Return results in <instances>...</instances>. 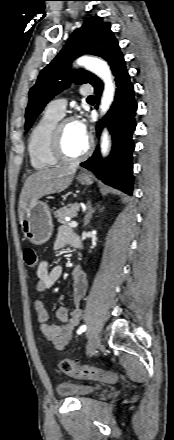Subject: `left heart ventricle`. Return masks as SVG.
<instances>
[{"label":"left heart ventricle","mask_w":174,"mask_h":440,"mask_svg":"<svg viewBox=\"0 0 174 440\" xmlns=\"http://www.w3.org/2000/svg\"><path fill=\"white\" fill-rule=\"evenodd\" d=\"M87 139L80 136L74 128L73 122H67L63 126V148L70 157L80 155L86 148Z\"/></svg>","instance_id":"obj_1"}]
</instances>
